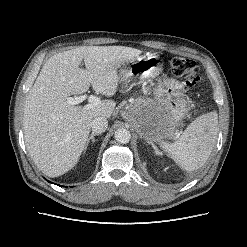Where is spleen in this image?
I'll use <instances>...</instances> for the list:
<instances>
[{"mask_svg": "<svg viewBox=\"0 0 247 247\" xmlns=\"http://www.w3.org/2000/svg\"><path fill=\"white\" fill-rule=\"evenodd\" d=\"M218 132V114L209 112L190 123L180 138L173 142H161L160 146L182 169L194 171L208 160L214 148Z\"/></svg>", "mask_w": 247, "mask_h": 247, "instance_id": "3e777b00", "label": "spleen"}]
</instances>
